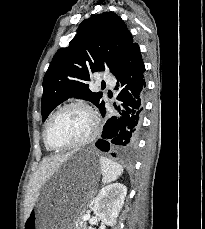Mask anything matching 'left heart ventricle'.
<instances>
[{
	"label": "left heart ventricle",
	"mask_w": 205,
	"mask_h": 229,
	"mask_svg": "<svg viewBox=\"0 0 205 229\" xmlns=\"http://www.w3.org/2000/svg\"><path fill=\"white\" fill-rule=\"evenodd\" d=\"M92 121L80 108L63 111L51 127L49 138L55 146H65L84 139L90 132Z\"/></svg>",
	"instance_id": "obj_1"
}]
</instances>
